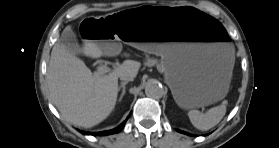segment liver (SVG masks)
<instances>
[{
	"instance_id": "1",
	"label": "liver",
	"mask_w": 279,
	"mask_h": 148,
	"mask_svg": "<svg viewBox=\"0 0 279 148\" xmlns=\"http://www.w3.org/2000/svg\"><path fill=\"white\" fill-rule=\"evenodd\" d=\"M83 53L87 57L100 58L103 54L113 56L120 52L103 51L89 42L84 45ZM140 66V62L125 60L107 75L93 74L82 60L57 42L47 69L51 101L66 121L91 128L113 111L118 96V78L127 76L134 79Z\"/></svg>"
}]
</instances>
